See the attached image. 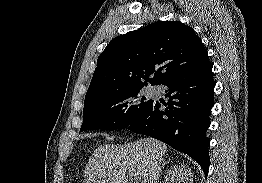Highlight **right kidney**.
I'll return each instance as SVG.
<instances>
[{"label":"right kidney","mask_w":262,"mask_h":183,"mask_svg":"<svg viewBox=\"0 0 262 183\" xmlns=\"http://www.w3.org/2000/svg\"><path fill=\"white\" fill-rule=\"evenodd\" d=\"M193 183V174L188 165L180 164L170 168L165 183Z\"/></svg>","instance_id":"ca27d5eb"}]
</instances>
